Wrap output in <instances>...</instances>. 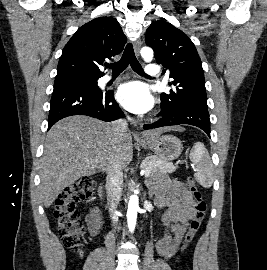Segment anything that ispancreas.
Here are the masks:
<instances>
[{"instance_id": "cf45deb5", "label": "pancreas", "mask_w": 267, "mask_h": 270, "mask_svg": "<svg viewBox=\"0 0 267 270\" xmlns=\"http://www.w3.org/2000/svg\"><path fill=\"white\" fill-rule=\"evenodd\" d=\"M141 168L149 171V175L156 173H172L176 169L172 164L167 163L154 155L146 157L141 163Z\"/></svg>"}]
</instances>
